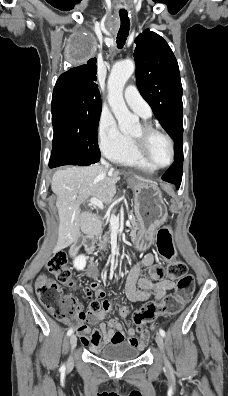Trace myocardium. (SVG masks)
Returning <instances> with one entry per match:
<instances>
[{"label":"myocardium","instance_id":"obj_1","mask_svg":"<svg viewBox=\"0 0 228 396\" xmlns=\"http://www.w3.org/2000/svg\"><path fill=\"white\" fill-rule=\"evenodd\" d=\"M141 128L143 132V136L141 138L131 137L134 149L139 159L143 162V164H145L148 168L152 169L153 171L162 170L169 167L174 162L175 159V146L172 137L165 131L159 129L158 127L148 122L142 123ZM153 134H158L163 136L168 141L170 146V150H171L170 160L166 164L161 166H157L153 164L148 156L147 139L149 136Z\"/></svg>","mask_w":228,"mask_h":396}]
</instances>
